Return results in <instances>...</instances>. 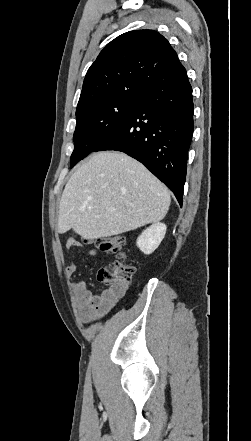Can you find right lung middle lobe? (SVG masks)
<instances>
[{"label":"right lung middle lobe","instance_id":"1","mask_svg":"<svg viewBox=\"0 0 251 441\" xmlns=\"http://www.w3.org/2000/svg\"><path fill=\"white\" fill-rule=\"evenodd\" d=\"M141 98L140 94L105 98L77 111L70 168L104 142L132 112Z\"/></svg>","mask_w":251,"mask_h":441}]
</instances>
